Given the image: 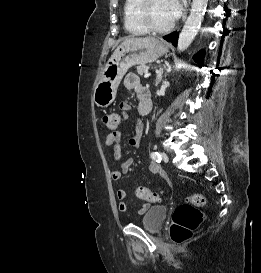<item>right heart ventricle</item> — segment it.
<instances>
[{
    "label": "right heart ventricle",
    "instance_id": "obj_1",
    "mask_svg": "<svg viewBox=\"0 0 261 273\" xmlns=\"http://www.w3.org/2000/svg\"><path fill=\"white\" fill-rule=\"evenodd\" d=\"M141 0H125L123 6V24L125 30L132 35H143L147 29L138 20V6Z\"/></svg>",
    "mask_w": 261,
    "mask_h": 273
}]
</instances>
